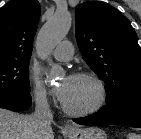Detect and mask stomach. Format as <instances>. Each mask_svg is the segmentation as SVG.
Masks as SVG:
<instances>
[{
    "mask_svg": "<svg viewBox=\"0 0 141 139\" xmlns=\"http://www.w3.org/2000/svg\"><path fill=\"white\" fill-rule=\"evenodd\" d=\"M69 139H107L106 134L97 127H88L84 129H76L68 132Z\"/></svg>",
    "mask_w": 141,
    "mask_h": 139,
    "instance_id": "0dacf381",
    "label": "stomach"
}]
</instances>
